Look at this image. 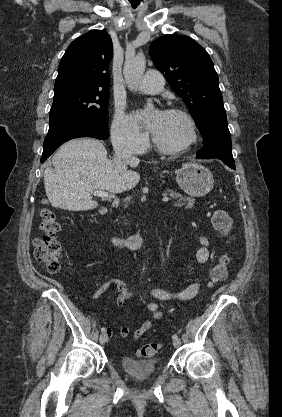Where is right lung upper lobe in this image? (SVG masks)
I'll list each match as a JSON object with an SVG mask.
<instances>
[{
    "label": "right lung upper lobe",
    "instance_id": "1",
    "mask_svg": "<svg viewBox=\"0 0 282 417\" xmlns=\"http://www.w3.org/2000/svg\"><path fill=\"white\" fill-rule=\"evenodd\" d=\"M113 44L104 30H91L67 48L55 81V92L70 89H109Z\"/></svg>",
    "mask_w": 282,
    "mask_h": 417
}]
</instances>
